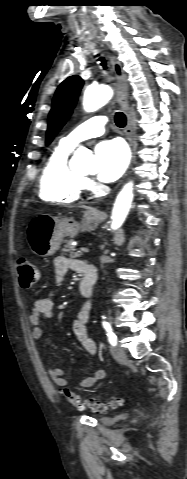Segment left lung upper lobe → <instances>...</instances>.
I'll list each match as a JSON object with an SVG mask.
<instances>
[{
	"label": "left lung upper lobe",
	"mask_w": 187,
	"mask_h": 479,
	"mask_svg": "<svg viewBox=\"0 0 187 479\" xmlns=\"http://www.w3.org/2000/svg\"><path fill=\"white\" fill-rule=\"evenodd\" d=\"M83 86L79 76H71L58 87L49 113L46 144H49L72 113Z\"/></svg>",
	"instance_id": "5c2ea615"
}]
</instances>
